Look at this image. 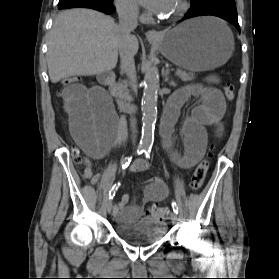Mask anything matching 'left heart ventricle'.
<instances>
[{
  "label": "left heart ventricle",
  "mask_w": 279,
  "mask_h": 279,
  "mask_svg": "<svg viewBox=\"0 0 279 279\" xmlns=\"http://www.w3.org/2000/svg\"><path fill=\"white\" fill-rule=\"evenodd\" d=\"M178 4H179V0H168L166 7L159 14L162 15L163 17H168L172 15L177 9Z\"/></svg>",
  "instance_id": "obj_1"
}]
</instances>
